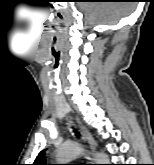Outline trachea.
Masks as SVG:
<instances>
[{
    "mask_svg": "<svg viewBox=\"0 0 154 165\" xmlns=\"http://www.w3.org/2000/svg\"><path fill=\"white\" fill-rule=\"evenodd\" d=\"M75 133H76V135L78 136V132L75 131Z\"/></svg>",
    "mask_w": 154,
    "mask_h": 165,
    "instance_id": "obj_1",
    "label": "trachea"
}]
</instances>
